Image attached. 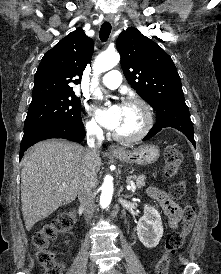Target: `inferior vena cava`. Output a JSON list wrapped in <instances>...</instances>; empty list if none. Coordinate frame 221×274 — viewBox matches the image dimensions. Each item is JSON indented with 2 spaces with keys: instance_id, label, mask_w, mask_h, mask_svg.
Wrapping results in <instances>:
<instances>
[{
  "instance_id": "inferior-vena-cava-1",
  "label": "inferior vena cava",
  "mask_w": 221,
  "mask_h": 274,
  "mask_svg": "<svg viewBox=\"0 0 221 274\" xmlns=\"http://www.w3.org/2000/svg\"><path fill=\"white\" fill-rule=\"evenodd\" d=\"M103 132L97 125L90 126L87 129V143L89 148L86 149L84 158V175L78 192L81 206L84 209L85 219L88 222L94 211V196L97 183L95 163L99 157V148L103 140Z\"/></svg>"
}]
</instances>
